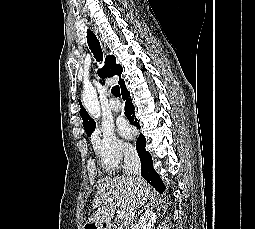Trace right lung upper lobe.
<instances>
[{
	"mask_svg": "<svg viewBox=\"0 0 255 229\" xmlns=\"http://www.w3.org/2000/svg\"><path fill=\"white\" fill-rule=\"evenodd\" d=\"M122 67L120 65H117L115 62V57L114 56H107L105 60V66L104 70L101 72L100 70L98 71V74L100 77L105 78V77H112L114 75L120 76L122 73ZM119 85L122 88L125 87V82L123 79H119ZM80 104V115L83 120V127L85 132L87 133L88 136L91 135L93 130L96 127L95 121L88 115L87 111L83 107L81 101H79Z\"/></svg>",
	"mask_w": 255,
	"mask_h": 229,
	"instance_id": "right-lung-upper-lobe-1",
	"label": "right lung upper lobe"
}]
</instances>
